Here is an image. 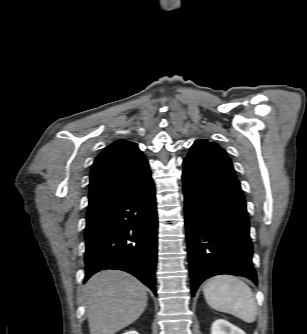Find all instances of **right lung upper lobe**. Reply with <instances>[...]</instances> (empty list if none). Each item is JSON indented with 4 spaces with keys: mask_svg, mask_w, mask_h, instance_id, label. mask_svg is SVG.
Wrapping results in <instances>:
<instances>
[{
    "mask_svg": "<svg viewBox=\"0 0 307 334\" xmlns=\"http://www.w3.org/2000/svg\"><path fill=\"white\" fill-rule=\"evenodd\" d=\"M151 179L148 161L136 143L113 142L92 166L87 217H95Z\"/></svg>",
    "mask_w": 307,
    "mask_h": 334,
    "instance_id": "cb5924a9",
    "label": "right lung upper lobe"
}]
</instances>
